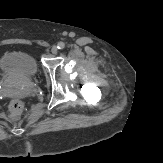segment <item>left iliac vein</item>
<instances>
[{
    "label": "left iliac vein",
    "mask_w": 163,
    "mask_h": 163,
    "mask_svg": "<svg viewBox=\"0 0 163 163\" xmlns=\"http://www.w3.org/2000/svg\"><path fill=\"white\" fill-rule=\"evenodd\" d=\"M57 52H58L57 46H53V47L51 48V53H52V54H57Z\"/></svg>",
    "instance_id": "1"
}]
</instances>
